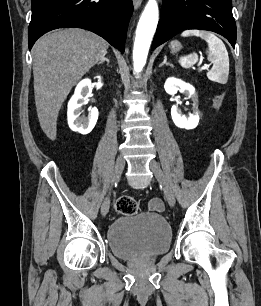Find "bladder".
<instances>
[{
  "label": "bladder",
  "mask_w": 261,
  "mask_h": 306,
  "mask_svg": "<svg viewBox=\"0 0 261 306\" xmlns=\"http://www.w3.org/2000/svg\"><path fill=\"white\" fill-rule=\"evenodd\" d=\"M107 241L110 251L118 258H151L169 250L172 230L162 215L140 213L114 220L108 227Z\"/></svg>",
  "instance_id": "bladder-1"
}]
</instances>
